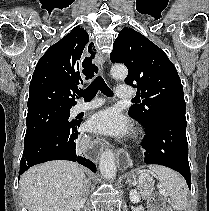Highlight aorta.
I'll return each mask as SVG.
<instances>
[{
    "mask_svg": "<svg viewBox=\"0 0 209 211\" xmlns=\"http://www.w3.org/2000/svg\"><path fill=\"white\" fill-rule=\"evenodd\" d=\"M127 74L128 70L126 66L122 64H116L111 68V76L114 79L123 80L127 77ZM99 168L101 174L105 179L111 180L115 178L117 168L115 165L114 154L112 153V151L107 150L102 153L100 157Z\"/></svg>",
    "mask_w": 209,
    "mask_h": 211,
    "instance_id": "obj_1",
    "label": "aorta"
}]
</instances>
